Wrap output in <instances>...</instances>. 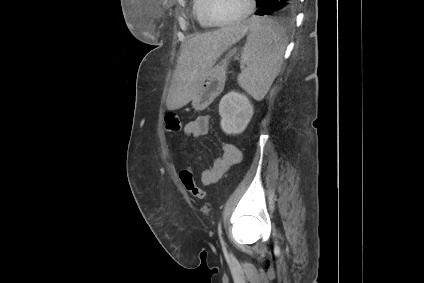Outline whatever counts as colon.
Segmentation results:
<instances>
[{"mask_svg": "<svg viewBox=\"0 0 424 283\" xmlns=\"http://www.w3.org/2000/svg\"><path fill=\"white\" fill-rule=\"evenodd\" d=\"M181 128L182 122L177 114L169 112L165 115V129L168 133L176 134L181 130ZM180 179L188 192H190L194 197L200 200L207 198V193L197 186L192 171L183 169L180 172Z\"/></svg>", "mask_w": 424, "mask_h": 283, "instance_id": "obj_1", "label": "colon"}]
</instances>
